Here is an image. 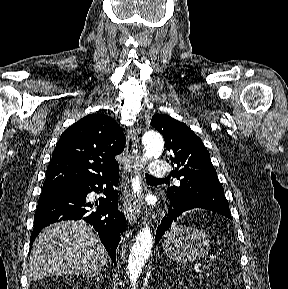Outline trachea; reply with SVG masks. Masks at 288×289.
Segmentation results:
<instances>
[{"instance_id": "trachea-1", "label": "trachea", "mask_w": 288, "mask_h": 289, "mask_svg": "<svg viewBox=\"0 0 288 289\" xmlns=\"http://www.w3.org/2000/svg\"><path fill=\"white\" fill-rule=\"evenodd\" d=\"M145 178H146V180H163V179H156V178H154L148 174H145Z\"/></svg>"}]
</instances>
